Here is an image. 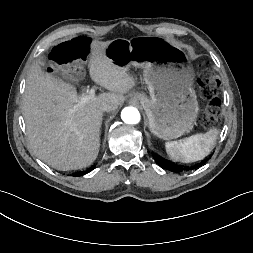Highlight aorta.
Segmentation results:
<instances>
[{"instance_id":"1","label":"aorta","mask_w":253,"mask_h":253,"mask_svg":"<svg viewBox=\"0 0 253 253\" xmlns=\"http://www.w3.org/2000/svg\"><path fill=\"white\" fill-rule=\"evenodd\" d=\"M122 120L127 124H138L141 116L135 107H125L121 112Z\"/></svg>"}]
</instances>
